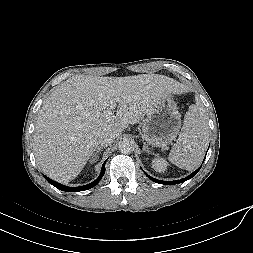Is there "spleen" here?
I'll return each mask as SVG.
<instances>
[{"label":"spleen","instance_id":"spleen-1","mask_svg":"<svg viewBox=\"0 0 253 253\" xmlns=\"http://www.w3.org/2000/svg\"><path fill=\"white\" fill-rule=\"evenodd\" d=\"M207 125L198 105H191L184 124L169 154V161L179 168L191 171L202 162L207 147Z\"/></svg>","mask_w":253,"mask_h":253}]
</instances>
